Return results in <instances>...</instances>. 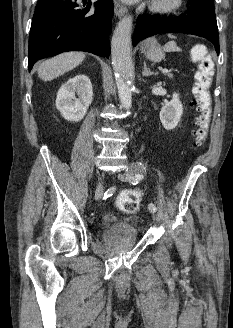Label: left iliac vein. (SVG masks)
I'll use <instances>...</instances> for the list:
<instances>
[{
	"label": "left iliac vein",
	"mask_w": 233,
	"mask_h": 328,
	"mask_svg": "<svg viewBox=\"0 0 233 328\" xmlns=\"http://www.w3.org/2000/svg\"><path fill=\"white\" fill-rule=\"evenodd\" d=\"M137 170V166L135 164H131L128 171L119 174L118 177L122 181L132 182V180L134 179V175L137 173ZM152 216L153 219L156 220V214L154 212H152Z\"/></svg>",
	"instance_id": "left-iliac-vein-1"
}]
</instances>
